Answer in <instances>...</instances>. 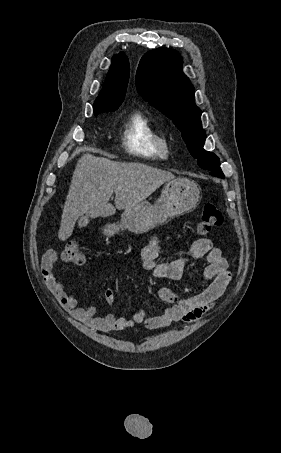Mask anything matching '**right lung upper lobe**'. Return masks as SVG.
Wrapping results in <instances>:
<instances>
[{"label":"right lung upper lobe","mask_w":281,"mask_h":453,"mask_svg":"<svg viewBox=\"0 0 281 453\" xmlns=\"http://www.w3.org/2000/svg\"><path fill=\"white\" fill-rule=\"evenodd\" d=\"M129 75L128 58L123 52L115 55L104 86L94 102V115L118 109L125 98Z\"/></svg>","instance_id":"obj_1"}]
</instances>
